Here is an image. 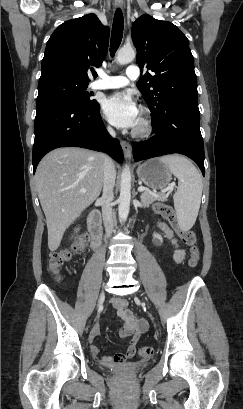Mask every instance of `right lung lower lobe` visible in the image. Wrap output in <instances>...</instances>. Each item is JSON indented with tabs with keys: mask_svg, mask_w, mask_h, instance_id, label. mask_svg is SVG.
Returning a JSON list of instances; mask_svg holds the SVG:
<instances>
[{
	"mask_svg": "<svg viewBox=\"0 0 243 409\" xmlns=\"http://www.w3.org/2000/svg\"><path fill=\"white\" fill-rule=\"evenodd\" d=\"M69 146L106 152L119 163L124 158L119 141L104 126L97 102L89 106L50 102L36 107L34 172L49 151Z\"/></svg>",
	"mask_w": 243,
	"mask_h": 409,
	"instance_id": "right-lung-lower-lobe-1",
	"label": "right lung lower lobe"
}]
</instances>
